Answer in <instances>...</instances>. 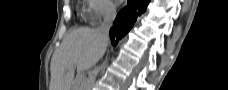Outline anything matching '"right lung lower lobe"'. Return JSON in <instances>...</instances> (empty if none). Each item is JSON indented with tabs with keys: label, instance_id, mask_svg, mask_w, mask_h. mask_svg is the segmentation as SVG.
<instances>
[{
	"label": "right lung lower lobe",
	"instance_id": "1",
	"mask_svg": "<svg viewBox=\"0 0 228 90\" xmlns=\"http://www.w3.org/2000/svg\"><path fill=\"white\" fill-rule=\"evenodd\" d=\"M150 0H128V7H124L117 15L109 35L112 44L118 41L132 28L137 17L146 10Z\"/></svg>",
	"mask_w": 228,
	"mask_h": 90
}]
</instances>
